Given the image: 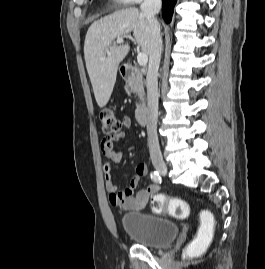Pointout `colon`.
Wrapping results in <instances>:
<instances>
[{
	"mask_svg": "<svg viewBox=\"0 0 265 269\" xmlns=\"http://www.w3.org/2000/svg\"><path fill=\"white\" fill-rule=\"evenodd\" d=\"M99 116L102 131L107 138L117 136L121 133L123 127L122 121L112 111L102 110ZM151 206L152 210L156 213H168L180 219L188 217L190 213V207L186 201L178 198H172L165 194L155 195L152 198ZM211 219V214L206 212L204 214L205 224L199 230L197 240L192 242L187 247L188 255L195 254L198 251L200 245L207 241L210 235V228L208 223Z\"/></svg>",
	"mask_w": 265,
	"mask_h": 269,
	"instance_id": "1",
	"label": "colon"
}]
</instances>
